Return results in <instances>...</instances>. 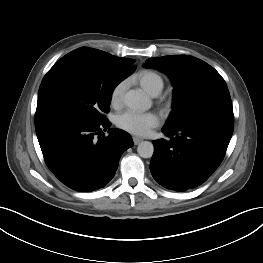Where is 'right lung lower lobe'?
Masks as SVG:
<instances>
[{
	"mask_svg": "<svg viewBox=\"0 0 263 263\" xmlns=\"http://www.w3.org/2000/svg\"><path fill=\"white\" fill-rule=\"evenodd\" d=\"M110 126L108 120L53 119L35 125V129L53 174L73 190L91 192L110 182L121 155L134 145L130 134L120 129H109V135L101 137V130Z\"/></svg>",
	"mask_w": 263,
	"mask_h": 263,
	"instance_id": "right-lung-lower-lobe-1",
	"label": "right lung lower lobe"
}]
</instances>
